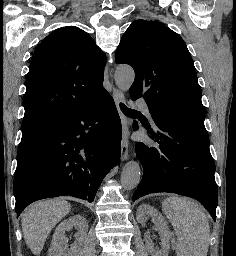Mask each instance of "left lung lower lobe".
<instances>
[{
  "label": "left lung lower lobe",
  "instance_id": "1",
  "mask_svg": "<svg viewBox=\"0 0 236 256\" xmlns=\"http://www.w3.org/2000/svg\"><path fill=\"white\" fill-rule=\"evenodd\" d=\"M152 118L155 131L143 125L156 146L136 143L143 177L132 200L148 193H176L197 199L216 220L218 189L208 133L164 115L152 114ZM138 128L134 122L133 129Z\"/></svg>",
  "mask_w": 236,
  "mask_h": 256
}]
</instances>
